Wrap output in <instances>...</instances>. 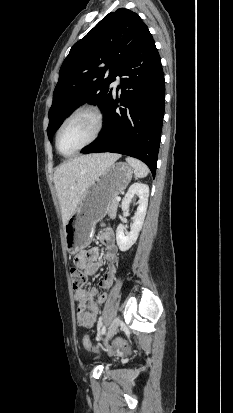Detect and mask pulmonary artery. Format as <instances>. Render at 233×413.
Returning <instances> with one entry per match:
<instances>
[{
	"mask_svg": "<svg viewBox=\"0 0 233 413\" xmlns=\"http://www.w3.org/2000/svg\"><path fill=\"white\" fill-rule=\"evenodd\" d=\"M120 84H121V77L118 76V77L116 78V80L114 81V86H115V87H119Z\"/></svg>",
	"mask_w": 233,
	"mask_h": 413,
	"instance_id": "1",
	"label": "pulmonary artery"
}]
</instances>
